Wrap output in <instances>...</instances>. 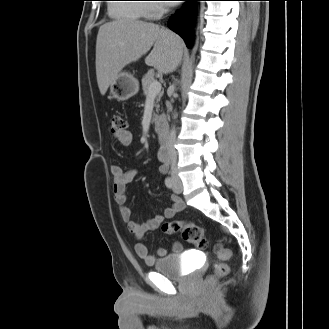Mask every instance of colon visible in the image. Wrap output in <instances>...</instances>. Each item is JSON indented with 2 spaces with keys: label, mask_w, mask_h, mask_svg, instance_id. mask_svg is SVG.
Instances as JSON below:
<instances>
[{
  "label": "colon",
  "mask_w": 329,
  "mask_h": 329,
  "mask_svg": "<svg viewBox=\"0 0 329 329\" xmlns=\"http://www.w3.org/2000/svg\"><path fill=\"white\" fill-rule=\"evenodd\" d=\"M126 130V120L118 114L111 116V132L113 135H119ZM162 231L166 234L173 235L181 232L185 241L195 244L200 247H205L208 244L207 237L202 227L192 222H182L172 220L162 224ZM215 253L219 261L214 265V272L208 277V283H214L218 279L228 275L230 268L228 261L231 253L222 244L215 245Z\"/></svg>",
  "instance_id": "1"
}]
</instances>
